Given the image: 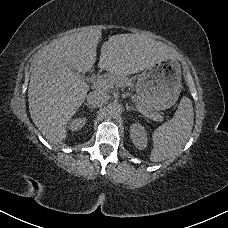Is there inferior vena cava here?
Segmentation results:
<instances>
[{
  "label": "inferior vena cava",
  "instance_id": "1",
  "mask_svg": "<svg viewBox=\"0 0 228 228\" xmlns=\"http://www.w3.org/2000/svg\"><path fill=\"white\" fill-rule=\"evenodd\" d=\"M110 96L104 90H96L87 95V104L93 107H99L109 100Z\"/></svg>",
  "mask_w": 228,
  "mask_h": 228
}]
</instances>
